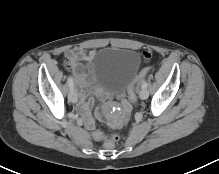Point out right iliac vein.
<instances>
[{
  "mask_svg": "<svg viewBox=\"0 0 219 174\" xmlns=\"http://www.w3.org/2000/svg\"><path fill=\"white\" fill-rule=\"evenodd\" d=\"M68 99L71 103H76L77 102V94L74 89H70V92L68 94Z\"/></svg>",
  "mask_w": 219,
  "mask_h": 174,
  "instance_id": "1",
  "label": "right iliac vein"
}]
</instances>
